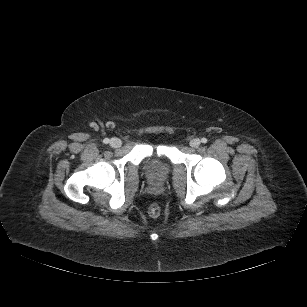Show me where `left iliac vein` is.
Masks as SVG:
<instances>
[{
  "label": "left iliac vein",
  "mask_w": 307,
  "mask_h": 307,
  "mask_svg": "<svg viewBox=\"0 0 307 307\" xmlns=\"http://www.w3.org/2000/svg\"><path fill=\"white\" fill-rule=\"evenodd\" d=\"M200 143H201L200 139L194 138L190 141V146L197 148L200 146Z\"/></svg>",
  "instance_id": "obj_1"
}]
</instances>
